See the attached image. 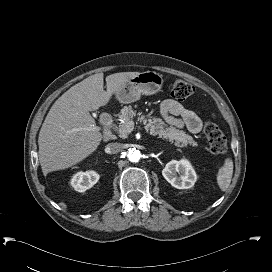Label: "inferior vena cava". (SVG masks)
Instances as JSON below:
<instances>
[{"label": "inferior vena cava", "mask_w": 272, "mask_h": 272, "mask_svg": "<svg viewBox=\"0 0 272 272\" xmlns=\"http://www.w3.org/2000/svg\"><path fill=\"white\" fill-rule=\"evenodd\" d=\"M106 152L107 153H110V154H117L119 153L121 150H122V145L120 143H109L107 146H106Z\"/></svg>", "instance_id": "602c4592"}]
</instances>
